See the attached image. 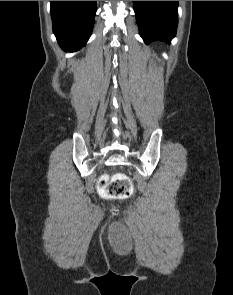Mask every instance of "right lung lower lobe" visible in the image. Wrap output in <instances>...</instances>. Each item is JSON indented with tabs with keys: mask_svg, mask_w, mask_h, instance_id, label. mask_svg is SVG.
I'll return each mask as SVG.
<instances>
[{
	"mask_svg": "<svg viewBox=\"0 0 233 295\" xmlns=\"http://www.w3.org/2000/svg\"><path fill=\"white\" fill-rule=\"evenodd\" d=\"M53 32L60 47L77 51L88 41L94 24L96 1H50Z\"/></svg>",
	"mask_w": 233,
	"mask_h": 295,
	"instance_id": "98d812e1",
	"label": "right lung lower lobe"
}]
</instances>
